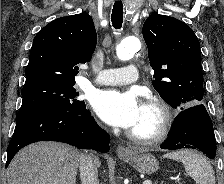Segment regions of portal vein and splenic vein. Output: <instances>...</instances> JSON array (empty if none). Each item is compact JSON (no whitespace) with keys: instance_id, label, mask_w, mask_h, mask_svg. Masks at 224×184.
Returning <instances> with one entry per match:
<instances>
[{"instance_id":"1","label":"portal vein and splenic vein","mask_w":224,"mask_h":184,"mask_svg":"<svg viewBox=\"0 0 224 184\" xmlns=\"http://www.w3.org/2000/svg\"><path fill=\"white\" fill-rule=\"evenodd\" d=\"M143 184H152V181H150V180H145V181L143 182Z\"/></svg>"}]
</instances>
